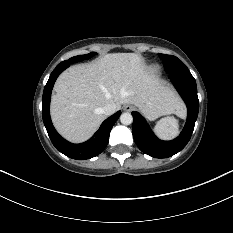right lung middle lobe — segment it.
I'll list each match as a JSON object with an SVG mask.
<instances>
[{"label": "right lung middle lobe", "mask_w": 233, "mask_h": 233, "mask_svg": "<svg viewBox=\"0 0 233 233\" xmlns=\"http://www.w3.org/2000/svg\"><path fill=\"white\" fill-rule=\"evenodd\" d=\"M95 54H96L95 52H92V53H89V54H86V55L75 56V57H72V58H70L68 60H65V61L61 62L60 64L75 63V62H78V61H82V60L88 59V58L92 57Z\"/></svg>", "instance_id": "dd1d6c3e"}]
</instances>
